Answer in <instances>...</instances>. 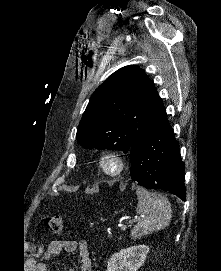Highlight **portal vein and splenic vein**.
I'll return each instance as SVG.
<instances>
[{"label":"portal vein and splenic vein","mask_w":221,"mask_h":271,"mask_svg":"<svg viewBox=\"0 0 221 271\" xmlns=\"http://www.w3.org/2000/svg\"><path fill=\"white\" fill-rule=\"evenodd\" d=\"M134 219H130L129 223H133V221H137L138 219V215L135 213L134 215ZM122 229H126L127 225H121Z\"/></svg>","instance_id":"obj_1"}]
</instances>
